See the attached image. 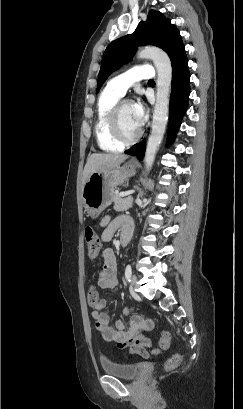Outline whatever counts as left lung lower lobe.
Returning <instances> with one entry per match:
<instances>
[{"mask_svg": "<svg viewBox=\"0 0 243 409\" xmlns=\"http://www.w3.org/2000/svg\"><path fill=\"white\" fill-rule=\"evenodd\" d=\"M172 64V89L170 97V116L168 125V144L172 143L177 130L180 127L181 120L188 107L190 94V74L188 70V60L185 53L184 45L179 49L171 59ZM145 151V142L132 146L125 151L129 155H137L142 159Z\"/></svg>", "mask_w": 243, "mask_h": 409, "instance_id": "obj_1", "label": "left lung lower lobe"}]
</instances>
